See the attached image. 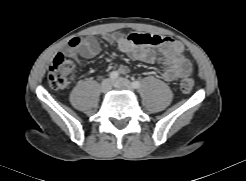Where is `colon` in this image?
Here are the masks:
<instances>
[{
    "mask_svg": "<svg viewBox=\"0 0 246 181\" xmlns=\"http://www.w3.org/2000/svg\"><path fill=\"white\" fill-rule=\"evenodd\" d=\"M79 38H75L71 41L72 45L80 43ZM141 44L158 45L162 39L157 35H142L138 39ZM73 71V63L70 59L63 54H57L49 68L47 74V81L49 85L56 89L66 88L70 83V77ZM194 81L188 75L184 74L179 79V87L182 92L188 93L193 89Z\"/></svg>",
    "mask_w": 246,
    "mask_h": 181,
    "instance_id": "colon-1",
    "label": "colon"
}]
</instances>
